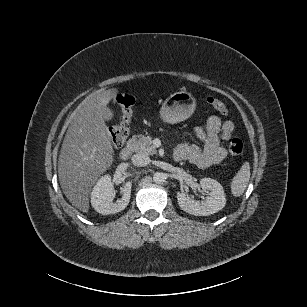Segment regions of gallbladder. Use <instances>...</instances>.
Returning <instances> with one entry per match:
<instances>
[{
  "label": "gallbladder",
  "instance_id": "bac80fb5",
  "mask_svg": "<svg viewBox=\"0 0 307 307\" xmlns=\"http://www.w3.org/2000/svg\"><path fill=\"white\" fill-rule=\"evenodd\" d=\"M105 111H106L105 112V116H104L105 121H107V122L112 121L113 115H114V112H113L112 108L110 106H107L105 108Z\"/></svg>",
  "mask_w": 307,
  "mask_h": 307
}]
</instances>
